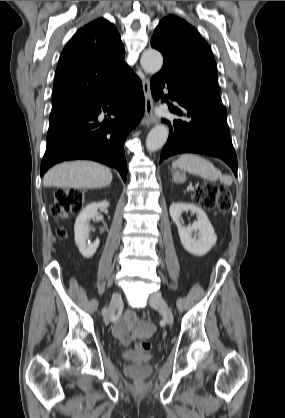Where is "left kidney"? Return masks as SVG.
I'll return each mask as SVG.
<instances>
[{
    "instance_id": "5707ae66",
    "label": "left kidney",
    "mask_w": 285,
    "mask_h": 418,
    "mask_svg": "<svg viewBox=\"0 0 285 418\" xmlns=\"http://www.w3.org/2000/svg\"><path fill=\"white\" fill-rule=\"evenodd\" d=\"M185 211H191L197 215V221L192 225H182L181 215ZM169 213L177 225L181 244L186 251L196 256H202L215 245L217 235L206 213L200 207L191 203H172ZM193 234H195L194 237Z\"/></svg>"
}]
</instances>
